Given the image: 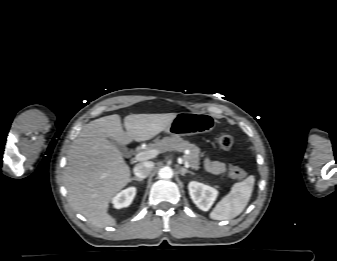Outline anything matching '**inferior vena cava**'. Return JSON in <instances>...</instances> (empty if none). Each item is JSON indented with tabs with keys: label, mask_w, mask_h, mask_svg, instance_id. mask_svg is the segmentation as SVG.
Here are the masks:
<instances>
[{
	"label": "inferior vena cava",
	"mask_w": 337,
	"mask_h": 261,
	"mask_svg": "<svg viewBox=\"0 0 337 261\" xmlns=\"http://www.w3.org/2000/svg\"><path fill=\"white\" fill-rule=\"evenodd\" d=\"M153 167H154L153 162H143L136 164L133 171L137 177L146 178L151 173Z\"/></svg>",
	"instance_id": "inferior-vena-cava-1"
}]
</instances>
